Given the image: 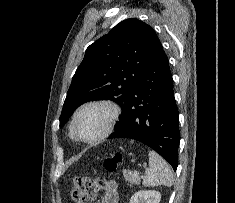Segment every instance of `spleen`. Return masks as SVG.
<instances>
[{"mask_svg": "<svg viewBox=\"0 0 235 203\" xmlns=\"http://www.w3.org/2000/svg\"><path fill=\"white\" fill-rule=\"evenodd\" d=\"M149 166L150 168L143 177L145 187L172 186L174 179L170 166L154 151H149Z\"/></svg>", "mask_w": 235, "mask_h": 203, "instance_id": "3e777b00", "label": "spleen"}]
</instances>
